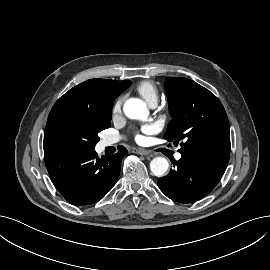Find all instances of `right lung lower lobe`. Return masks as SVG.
Instances as JSON below:
<instances>
[{
  "instance_id": "1",
  "label": "right lung lower lobe",
  "mask_w": 270,
  "mask_h": 270,
  "mask_svg": "<svg viewBox=\"0 0 270 270\" xmlns=\"http://www.w3.org/2000/svg\"><path fill=\"white\" fill-rule=\"evenodd\" d=\"M128 152H119L99 159L95 150L85 153H58L44 156L50 178L71 204L89 205L101 200L115 185L121 160Z\"/></svg>"
}]
</instances>
